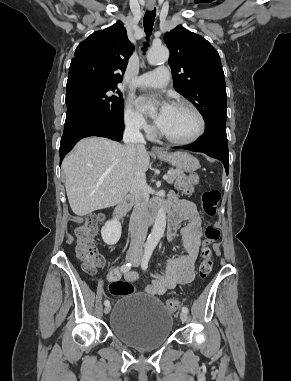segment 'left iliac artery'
I'll list each match as a JSON object with an SVG mask.
<instances>
[{"label":"left iliac artery","mask_w":291,"mask_h":381,"mask_svg":"<svg viewBox=\"0 0 291 381\" xmlns=\"http://www.w3.org/2000/svg\"><path fill=\"white\" fill-rule=\"evenodd\" d=\"M152 253L153 251L152 250H147L142 258V261H141V267L143 270H147L148 268V263H149V260L152 256ZM188 308L186 306H183L182 307V312H185V313H188Z\"/></svg>","instance_id":"obj_1"}]
</instances>
